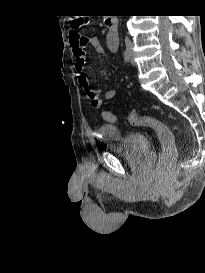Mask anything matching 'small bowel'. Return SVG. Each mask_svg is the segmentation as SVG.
<instances>
[{
  "label": "small bowel",
  "mask_w": 205,
  "mask_h": 273,
  "mask_svg": "<svg viewBox=\"0 0 205 273\" xmlns=\"http://www.w3.org/2000/svg\"><path fill=\"white\" fill-rule=\"evenodd\" d=\"M107 44L110 50L114 51L117 48V41L115 37V33H111L110 31L107 33ZM89 46L92 50L97 53H103V47L100 44L97 37H85L82 36L79 42L72 41V48L74 54V67L78 80V84L86 97L89 99L90 104L93 108H100L102 106V99L100 96L99 89H93L90 87L89 76L85 72V64H86V49L85 47ZM116 95V91L114 89L107 90L105 97L106 99H113ZM111 113L109 111H104L102 113L103 118L106 120V114ZM112 114V113H111ZM108 121V120H107Z\"/></svg>",
  "instance_id": "obj_1"
}]
</instances>
